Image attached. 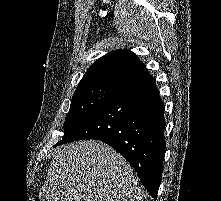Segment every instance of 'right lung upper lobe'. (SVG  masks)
<instances>
[{
  "label": "right lung upper lobe",
  "mask_w": 221,
  "mask_h": 201,
  "mask_svg": "<svg viewBox=\"0 0 221 201\" xmlns=\"http://www.w3.org/2000/svg\"><path fill=\"white\" fill-rule=\"evenodd\" d=\"M146 73L148 71L144 64L133 52L112 51L92 64L76 90L89 87L121 89Z\"/></svg>",
  "instance_id": "cb5924a9"
}]
</instances>
